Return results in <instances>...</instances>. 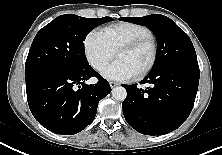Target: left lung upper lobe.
Returning a JSON list of instances; mask_svg holds the SVG:
<instances>
[{
	"mask_svg": "<svg viewBox=\"0 0 222 155\" xmlns=\"http://www.w3.org/2000/svg\"><path fill=\"white\" fill-rule=\"evenodd\" d=\"M120 20L147 26L155 34L158 50L151 71L177 65L199 69L196 52L189 36L170 18L153 14L144 17H122Z\"/></svg>",
	"mask_w": 222,
	"mask_h": 155,
	"instance_id": "5c2ea615",
	"label": "left lung upper lobe"
}]
</instances>
